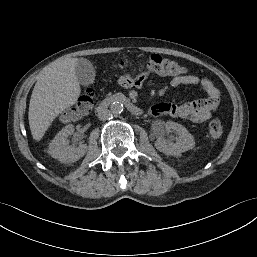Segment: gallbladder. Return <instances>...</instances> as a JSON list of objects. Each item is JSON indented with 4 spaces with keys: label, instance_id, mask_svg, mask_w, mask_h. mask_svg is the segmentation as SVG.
<instances>
[{
    "label": "gallbladder",
    "instance_id": "1",
    "mask_svg": "<svg viewBox=\"0 0 257 257\" xmlns=\"http://www.w3.org/2000/svg\"><path fill=\"white\" fill-rule=\"evenodd\" d=\"M75 73L77 80L81 85L87 86L94 83L95 70L92 63L89 60L85 58L78 59L75 68Z\"/></svg>",
    "mask_w": 257,
    "mask_h": 257
}]
</instances>
